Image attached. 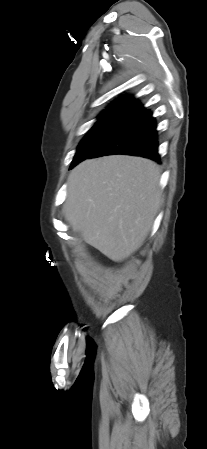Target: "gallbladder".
I'll list each match as a JSON object with an SVG mask.
<instances>
[{"label": "gallbladder", "mask_w": 207, "mask_h": 449, "mask_svg": "<svg viewBox=\"0 0 207 449\" xmlns=\"http://www.w3.org/2000/svg\"><path fill=\"white\" fill-rule=\"evenodd\" d=\"M77 236H78L79 238L82 237L80 232H77Z\"/></svg>", "instance_id": "1"}]
</instances>
